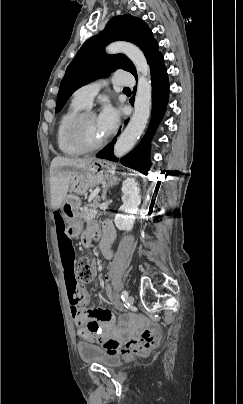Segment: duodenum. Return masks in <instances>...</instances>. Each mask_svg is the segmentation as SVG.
<instances>
[{"label": "duodenum", "instance_id": "1", "mask_svg": "<svg viewBox=\"0 0 243 404\" xmlns=\"http://www.w3.org/2000/svg\"><path fill=\"white\" fill-rule=\"evenodd\" d=\"M99 236H100V234H99V232L98 231H95L94 233H93V237L94 238H99Z\"/></svg>", "mask_w": 243, "mask_h": 404}]
</instances>
